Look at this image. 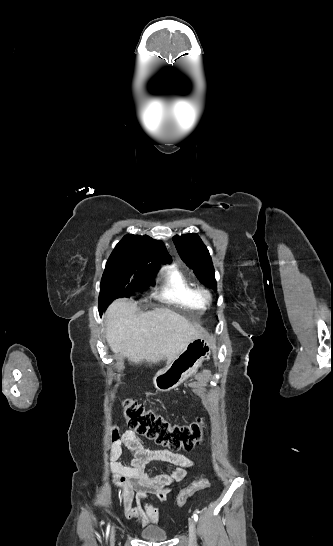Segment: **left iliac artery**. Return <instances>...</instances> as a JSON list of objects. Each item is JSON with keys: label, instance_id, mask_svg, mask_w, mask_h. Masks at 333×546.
<instances>
[{"label": "left iliac artery", "instance_id": "1", "mask_svg": "<svg viewBox=\"0 0 333 546\" xmlns=\"http://www.w3.org/2000/svg\"><path fill=\"white\" fill-rule=\"evenodd\" d=\"M193 518H194V520H195L196 522L198 521V515H197V514H194V515H193Z\"/></svg>", "mask_w": 333, "mask_h": 546}]
</instances>
